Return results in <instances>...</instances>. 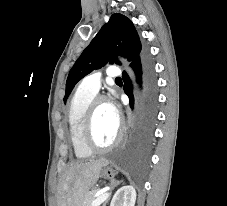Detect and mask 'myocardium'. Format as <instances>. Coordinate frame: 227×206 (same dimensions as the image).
Here are the masks:
<instances>
[{"mask_svg":"<svg viewBox=\"0 0 227 206\" xmlns=\"http://www.w3.org/2000/svg\"><path fill=\"white\" fill-rule=\"evenodd\" d=\"M106 102H107V98L105 96H95L94 99L90 102L84 116L83 126H82V139H83L84 145L91 152L101 153V152L108 151L114 148L120 142L122 137V123L120 120H118L117 133L115 135V138L110 144L106 146H101L95 141L94 121H95L96 111L100 104L106 103Z\"/></svg>","mask_w":227,"mask_h":206,"instance_id":"1","label":"myocardium"}]
</instances>
